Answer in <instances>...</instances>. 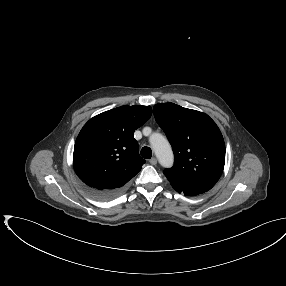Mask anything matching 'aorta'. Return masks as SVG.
Returning <instances> with one entry per match:
<instances>
[{
  "label": "aorta",
  "instance_id": "aorta-1",
  "mask_svg": "<svg viewBox=\"0 0 286 286\" xmlns=\"http://www.w3.org/2000/svg\"><path fill=\"white\" fill-rule=\"evenodd\" d=\"M150 144L155 152L159 163L169 168L173 165L174 157L168 140L160 133H154L150 137Z\"/></svg>",
  "mask_w": 286,
  "mask_h": 286
}]
</instances>
